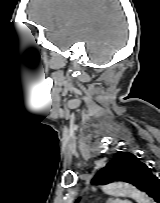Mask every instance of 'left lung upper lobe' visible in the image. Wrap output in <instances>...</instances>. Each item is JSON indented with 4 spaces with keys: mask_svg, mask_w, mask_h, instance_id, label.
Instances as JSON below:
<instances>
[{
    "mask_svg": "<svg viewBox=\"0 0 160 203\" xmlns=\"http://www.w3.org/2000/svg\"><path fill=\"white\" fill-rule=\"evenodd\" d=\"M157 176L145 163L129 152H117L114 159L102 168L92 180L94 184L124 181L150 194Z\"/></svg>",
    "mask_w": 160,
    "mask_h": 203,
    "instance_id": "obj_1",
    "label": "left lung upper lobe"
}]
</instances>
